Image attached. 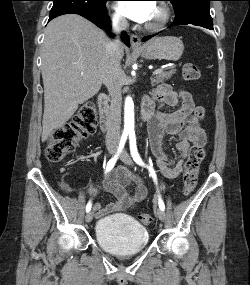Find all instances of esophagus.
<instances>
[{"label": "esophagus", "instance_id": "34e87169", "mask_svg": "<svg viewBox=\"0 0 250 285\" xmlns=\"http://www.w3.org/2000/svg\"><path fill=\"white\" fill-rule=\"evenodd\" d=\"M132 49H141V40L137 35L132 34L130 36Z\"/></svg>", "mask_w": 250, "mask_h": 285}]
</instances>
